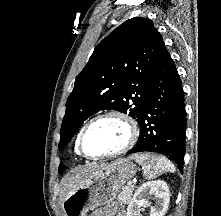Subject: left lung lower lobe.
<instances>
[{
    "label": "left lung lower lobe",
    "instance_id": "left-lung-lower-lobe-1",
    "mask_svg": "<svg viewBox=\"0 0 221 216\" xmlns=\"http://www.w3.org/2000/svg\"><path fill=\"white\" fill-rule=\"evenodd\" d=\"M140 135L127 154L156 152L183 171L186 112L180 78L168 51L151 78L145 107L138 121Z\"/></svg>",
    "mask_w": 221,
    "mask_h": 216
}]
</instances>
